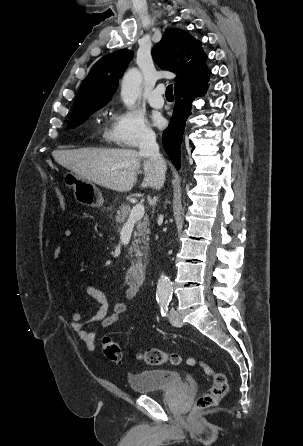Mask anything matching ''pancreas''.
I'll use <instances>...</instances> for the list:
<instances>
[{"label":"pancreas","mask_w":303,"mask_h":446,"mask_svg":"<svg viewBox=\"0 0 303 446\" xmlns=\"http://www.w3.org/2000/svg\"><path fill=\"white\" fill-rule=\"evenodd\" d=\"M131 213V207L129 204H122L115 217V222L122 225L129 217ZM148 219L144 218L143 221H138L136 225V230L134 232V240L129 248V254L135 255L136 257H141L145 248L141 245L146 244L148 241L147 235L149 234Z\"/></svg>","instance_id":"obj_1"}]
</instances>
